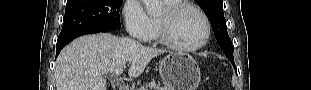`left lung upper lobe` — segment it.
Segmentation results:
<instances>
[{
	"label": "left lung upper lobe",
	"instance_id": "obj_1",
	"mask_svg": "<svg viewBox=\"0 0 311 90\" xmlns=\"http://www.w3.org/2000/svg\"><path fill=\"white\" fill-rule=\"evenodd\" d=\"M212 25L215 38L225 55L234 63L233 45L227 33L222 0H197Z\"/></svg>",
	"mask_w": 311,
	"mask_h": 90
}]
</instances>
